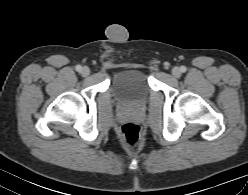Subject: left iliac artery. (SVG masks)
Instances as JSON below:
<instances>
[{
	"label": "left iliac artery",
	"instance_id": "left-iliac-artery-1",
	"mask_svg": "<svg viewBox=\"0 0 248 195\" xmlns=\"http://www.w3.org/2000/svg\"><path fill=\"white\" fill-rule=\"evenodd\" d=\"M181 72H186L187 68L185 66L180 67Z\"/></svg>",
	"mask_w": 248,
	"mask_h": 195
}]
</instances>
